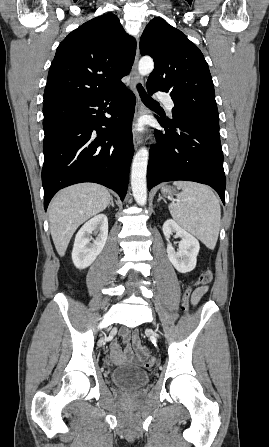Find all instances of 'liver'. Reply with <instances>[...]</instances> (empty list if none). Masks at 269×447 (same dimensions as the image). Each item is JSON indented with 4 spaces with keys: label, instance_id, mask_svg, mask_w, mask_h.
<instances>
[{
    "label": "liver",
    "instance_id": "obj_1",
    "mask_svg": "<svg viewBox=\"0 0 269 447\" xmlns=\"http://www.w3.org/2000/svg\"><path fill=\"white\" fill-rule=\"evenodd\" d=\"M110 198L107 188L99 184H76L58 192L49 208V222L59 255H65L78 225L103 212L109 206Z\"/></svg>",
    "mask_w": 269,
    "mask_h": 447
}]
</instances>
